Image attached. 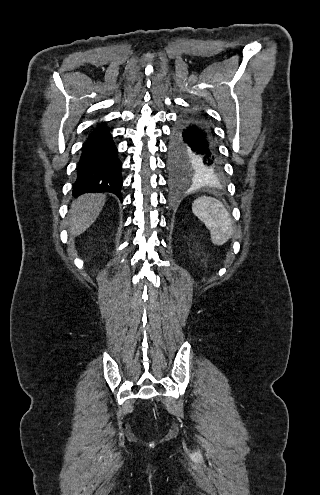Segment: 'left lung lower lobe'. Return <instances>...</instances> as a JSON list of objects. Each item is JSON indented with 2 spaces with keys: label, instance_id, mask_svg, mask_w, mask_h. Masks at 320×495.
Instances as JSON below:
<instances>
[{
  "label": "left lung lower lobe",
  "instance_id": "0a47b994",
  "mask_svg": "<svg viewBox=\"0 0 320 495\" xmlns=\"http://www.w3.org/2000/svg\"><path fill=\"white\" fill-rule=\"evenodd\" d=\"M179 125L185 130L192 148L198 152L207 167V175L213 176L223 171V162L218 153L213 135L203 119L196 113L183 115Z\"/></svg>",
  "mask_w": 320,
  "mask_h": 495
}]
</instances>
